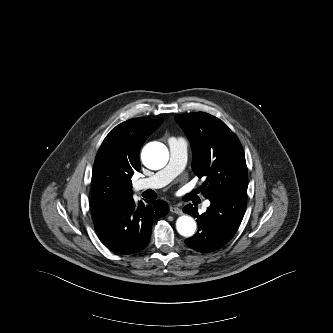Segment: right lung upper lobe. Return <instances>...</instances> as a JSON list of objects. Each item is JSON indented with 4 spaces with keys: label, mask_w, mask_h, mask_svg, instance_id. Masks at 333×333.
<instances>
[{
    "label": "right lung upper lobe",
    "mask_w": 333,
    "mask_h": 333,
    "mask_svg": "<svg viewBox=\"0 0 333 333\" xmlns=\"http://www.w3.org/2000/svg\"><path fill=\"white\" fill-rule=\"evenodd\" d=\"M162 123V119L135 118L110 131L94 162L92 201L123 204L132 198L131 178L141 166L140 148Z\"/></svg>",
    "instance_id": "right-lung-upper-lobe-1"
}]
</instances>
